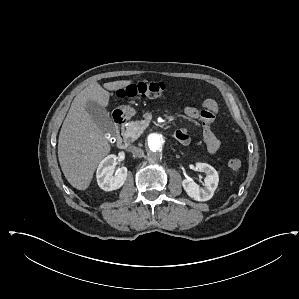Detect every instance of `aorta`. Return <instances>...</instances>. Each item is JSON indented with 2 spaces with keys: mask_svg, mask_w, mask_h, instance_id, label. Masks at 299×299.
<instances>
[{
  "mask_svg": "<svg viewBox=\"0 0 299 299\" xmlns=\"http://www.w3.org/2000/svg\"><path fill=\"white\" fill-rule=\"evenodd\" d=\"M146 147L153 155H159L165 148V139L160 133H151L147 137Z\"/></svg>",
  "mask_w": 299,
  "mask_h": 299,
  "instance_id": "aorta-1",
  "label": "aorta"
}]
</instances>
